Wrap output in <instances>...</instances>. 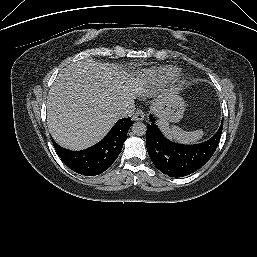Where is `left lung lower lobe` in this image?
<instances>
[{
    "label": "left lung lower lobe",
    "instance_id": "1",
    "mask_svg": "<svg viewBox=\"0 0 257 257\" xmlns=\"http://www.w3.org/2000/svg\"><path fill=\"white\" fill-rule=\"evenodd\" d=\"M146 131V147L153 164L170 177L187 176L205 165L214 154L223 130V121L217 132L199 144L185 145L167 139L150 115Z\"/></svg>",
    "mask_w": 257,
    "mask_h": 257
}]
</instances>
